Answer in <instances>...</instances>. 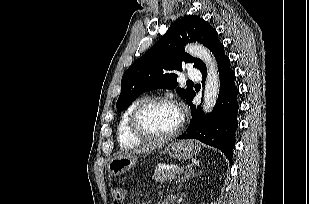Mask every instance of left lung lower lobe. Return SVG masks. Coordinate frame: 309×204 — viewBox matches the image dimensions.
<instances>
[{
	"mask_svg": "<svg viewBox=\"0 0 309 204\" xmlns=\"http://www.w3.org/2000/svg\"><path fill=\"white\" fill-rule=\"evenodd\" d=\"M220 74V92L216 105L210 114H203L201 106H195L192 96L188 105L192 119L187 130L177 139H198L201 142L220 149L231 162L235 146V131L238 127L237 113L239 104L238 88L235 85V74L230 67V60L222 46L216 55ZM205 80L206 69L202 71Z\"/></svg>",
	"mask_w": 309,
	"mask_h": 204,
	"instance_id": "1",
	"label": "left lung lower lobe"
}]
</instances>
